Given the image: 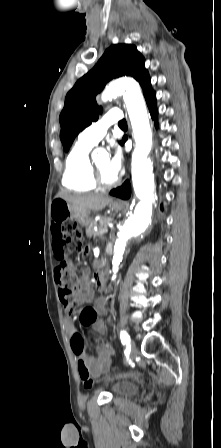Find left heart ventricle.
<instances>
[{"label": "left heart ventricle", "instance_id": "left-heart-ventricle-1", "mask_svg": "<svg viewBox=\"0 0 221 448\" xmlns=\"http://www.w3.org/2000/svg\"><path fill=\"white\" fill-rule=\"evenodd\" d=\"M108 160L109 159L107 157H102V158L98 159L95 162V164L105 179L112 180V179H114V177L112 175H110V173L108 172V169H107Z\"/></svg>", "mask_w": 221, "mask_h": 448}]
</instances>
